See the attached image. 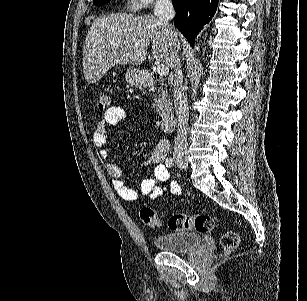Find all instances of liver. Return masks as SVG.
I'll return each instance as SVG.
<instances>
[{"label": "liver", "mask_w": 307, "mask_h": 301, "mask_svg": "<svg viewBox=\"0 0 307 301\" xmlns=\"http://www.w3.org/2000/svg\"><path fill=\"white\" fill-rule=\"evenodd\" d=\"M155 62L173 68L179 40L153 14L111 12L93 20L83 46V72L87 82H97L115 64H142L147 50Z\"/></svg>", "instance_id": "1"}]
</instances>
